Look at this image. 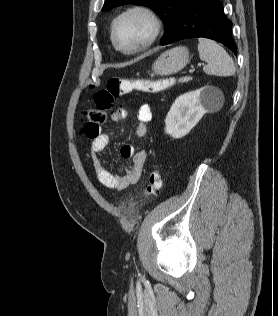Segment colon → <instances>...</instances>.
Here are the masks:
<instances>
[{"label":"colon","mask_w":278,"mask_h":316,"mask_svg":"<svg viewBox=\"0 0 278 316\" xmlns=\"http://www.w3.org/2000/svg\"><path fill=\"white\" fill-rule=\"evenodd\" d=\"M165 81L137 79L130 80L118 77L108 79L104 88L94 95L95 108H90L82 113L84 121V133L93 136L99 132L100 125L107 119V113L115 105L119 96L130 93L133 90L142 92H157L163 89ZM162 188V178L159 171L154 170L149 174L144 198L156 196Z\"/></svg>","instance_id":"colon-1"}]
</instances>
